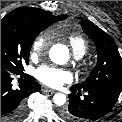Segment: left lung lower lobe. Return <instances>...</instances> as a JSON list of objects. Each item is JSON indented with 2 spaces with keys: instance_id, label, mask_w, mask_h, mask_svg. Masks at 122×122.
Segmentation results:
<instances>
[{
  "instance_id": "obj_1",
  "label": "left lung lower lobe",
  "mask_w": 122,
  "mask_h": 122,
  "mask_svg": "<svg viewBox=\"0 0 122 122\" xmlns=\"http://www.w3.org/2000/svg\"><path fill=\"white\" fill-rule=\"evenodd\" d=\"M69 105L62 112V117L68 122H89L106 115L116 103L121 90L113 88L79 89L71 87ZM87 92L84 99H80L81 92Z\"/></svg>"
}]
</instances>
